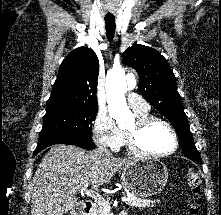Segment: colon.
<instances>
[{"instance_id": "5ec220e1", "label": "colon", "mask_w": 221, "mask_h": 215, "mask_svg": "<svg viewBox=\"0 0 221 215\" xmlns=\"http://www.w3.org/2000/svg\"><path fill=\"white\" fill-rule=\"evenodd\" d=\"M185 181L190 189L192 194L193 201L190 204L188 214L189 215H198L200 211V206L197 202L199 195H200V177L197 172L193 170H189L185 175Z\"/></svg>"}]
</instances>
